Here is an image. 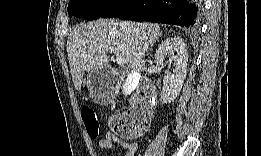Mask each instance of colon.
Returning <instances> with one entry per match:
<instances>
[{
  "label": "colon",
  "mask_w": 261,
  "mask_h": 156,
  "mask_svg": "<svg viewBox=\"0 0 261 156\" xmlns=\"http://www.w3.org/2000/svg\"><path fill=\"white\" fill-rule=\"evenodd\" d=\"M81 116L86 126L87 132L91 138H97L99 135V122L94 110L90 107H84L81 110ZM111 129L124 137H132L143 133L147 127V121L130 126L127 121L114 117L109 121Z\"/></svg>",
  "instance_id": "obj_1"
}]
</instances>
